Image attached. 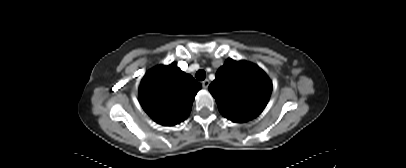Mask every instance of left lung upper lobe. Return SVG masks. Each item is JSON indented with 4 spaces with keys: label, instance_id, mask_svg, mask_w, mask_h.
I'll list each match as a JSON object with an SVG mask.
<instances>
[{
    "label": "left lung upper lobe",
    "instance_id": "obj_1",
    "mask_svg": "<svg viewBox=\"0 0 406 168\" xmlns=\"http://www.w3.org/2000/svg\"><path fill=\"white\" fill-rule=\"evenodd\" d=\"M209 91L223 116L243 123L263 111L272 91V83L257 65L227 59L218 69Z\"/></svg>",
    "mask_w": 406,
    "mask_h": 168
}]
</instances>
